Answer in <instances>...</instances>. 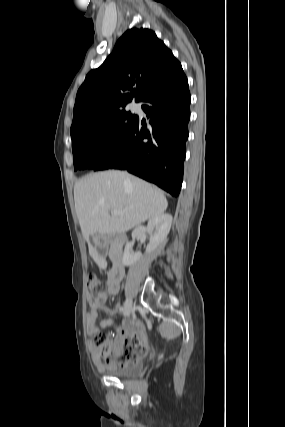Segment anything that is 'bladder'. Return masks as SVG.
Here are the masks:
<instances>
[{"label": "bladder", "mask_w": 285, "mask_h": 427, "mask_svg": "<svg viewBox=\"0 0 285 427\" xmlns=\"http://www.w3.org/2000/svg\"><path fill=\"white\" fill-rule=\"evenodd\" d=\"M142 371V365L139 362H129L123 366L110 367L107 373L117 378H127L137 376Z\"/></svg>", "instance_id": "31cf9c89"}]
</instances>
